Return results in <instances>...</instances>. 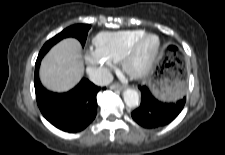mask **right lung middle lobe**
<instances>
[{
    "label": "right lung middle lobe",
    "instance_id": "1",
    "mask_svg": "<svg viewBox=\"0 0 225 155\" xmlns=\"http://www.w3.org/2000/svg\"><path fill=\"white\" fill-rule=\"evenodd\" d=\"M89 29L90 25L87 24L73 25L64 29L61 33H59L44 44L38 55V59H42V57L54 44L66 37H75L81 42L82 46H84Z\"/></svg>",
    "mask_w": 225,
    "mask_h": 155
}]
</instances>
